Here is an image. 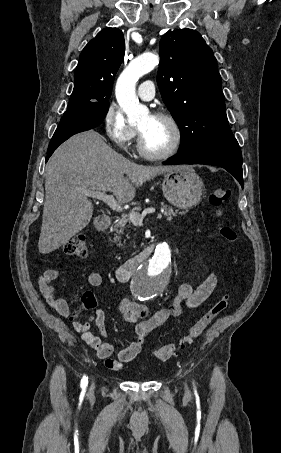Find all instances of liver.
I'll return each mask as SVG.
<instances>
[{
  "label": "liver",
  "mask_w": 281,
  "mask_h": 453,
  "mask_svg": "<svg viewBox=\"0 0 281 453\" xmlns=\"http://www.w3.org/2000/svg\"><path fill=\"white\" fill-rule=\"evenodd\" d=\"M181 166L185 164H136L113 150L96 130L74 134L56 148L45 166L39 253L56 251L87 227L93 204L83 190H110L121 202H130L143 182Z\"/></svg>",
  "instance_id": "liver-1"
}]
</instances>
